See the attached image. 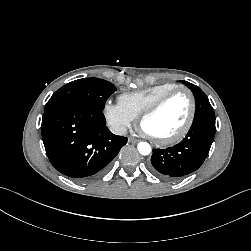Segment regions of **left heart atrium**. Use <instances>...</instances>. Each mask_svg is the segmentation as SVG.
<instances>
[{"instance_id": "1", "label": "left heart atrium", "mask_w": 251, "mask_h": 251, "mask_svg": "<svg viewBox=\"0 0 251 251\" xmlns=\"http://www.w3.org/2000/svg\"><path fill=\"white\" fill-rule=\"evenodd\" d=\"M141 129H142V131H143L144 133L148 134L144 128H141Z\"/></svg>"}]
</instances>
